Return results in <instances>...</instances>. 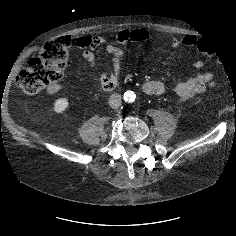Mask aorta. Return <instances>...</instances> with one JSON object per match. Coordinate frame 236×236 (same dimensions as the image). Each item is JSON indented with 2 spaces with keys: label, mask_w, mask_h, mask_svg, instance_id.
I'll list each match as a JSON object with an SVG mask.
<instances>
[{
  "label": "aorta",
  "mask_w": 236,
  "mask_h": 236,
  "mask_svg": "<svg viewBox=\"0 0 236 236\" xmlns=\"http://www.w3.org/2000/svg\"><path fill=\"white\" fill-rule=\"evenodd\" d=\"M124 99L127 102H133L135 99V95L132 91H128L124 94Z\"/></svg>",
  "instance_id": "762f6f07"
}]
</instances>
